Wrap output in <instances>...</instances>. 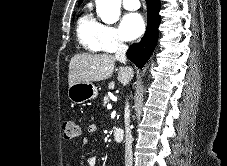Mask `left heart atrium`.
<instances>
[{
    "mask_svg": "<svg viewBox=\"0 0 227 166\" xmlns=\"http://www.w3.org/2000/svg\"><path fill=\"white\" fill-rule=\"evenodd\" d=\"M145 29V23L142 16L138 13L126 14L120 23V33L127 40H134L141 36Z\"/></svg>",
    "mask_w": 227,
    "mask_h": 166,
    "instance_id": "1",
    "label": "left heart atrium"
}]
</instances>
